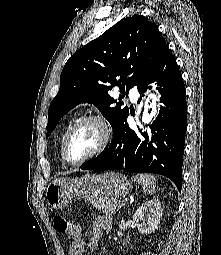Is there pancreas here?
<instances>
[{
	"instance_id": "cf45deb5",
	"label": "pancreas",
	"mask_w": 221,
	"mask_h": 255,
	"mask_svg": "<svg viewBox=\"0 0 221 255\" xmlns=\"http://www.w3.org/2000/svg\"><path fill=\"white\" fill-rule=\"evenodd\" d=\"M93 206L102 210L104 214L112 215L122 206L121 201L117 199H99L92 202Z\"/></svg>"
}]
</instances>
